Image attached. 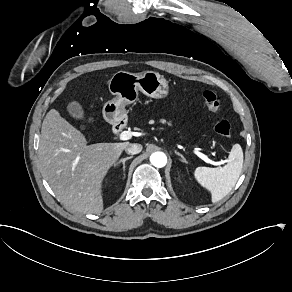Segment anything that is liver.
<instances>
[{
  "label": "liver",
  "instance_id": "6515ba94",
  "mask_svg": "<svg viewBox=\"0 0 292 292\" xmlns=\"http://www.w3.org/2000/svg\"><path fill=\"white\" fill-rule=\"evenodd\" d=\"M129 145V141L88 145L86 136L52 109L41 127L40 169L66 209L100 213L106 176Z\"/></svg>",
  "mask_w": 292,
  "mask_h": 292
}]
</instances>
